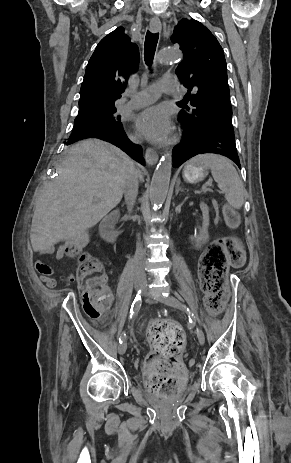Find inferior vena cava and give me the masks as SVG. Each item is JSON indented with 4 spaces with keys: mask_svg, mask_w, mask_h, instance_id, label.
Masks as SVG:
<instances>
[{
    "mask_svg": "<svg viewBox=\"0 0 291 463\" xmlns=\"http://www.w3.org/2000/svg\"><path fill=\"white\" fill-rule=\"evenodd\" d=\"M130 139L137 143L140 142V140L135 136H131ZM137 194H138V174H137V170L135 166H133L131 175L126 183V187L124 191L125 201L127 203V208H128L129 213L132 212V208H133V205L135 204ZM144 252L145 251L143 247L141 246V244L139 243V237H138L137 250H136L138 257L142 258L144 255ZM139 276L141 277L144 276L143 270L139 271Z\"/></svg>",
    "mask_w": 291,
    "mask_h": 463,
    "instance_id": "1",
    "label": "inferior vena cava"
}]
</instances>
